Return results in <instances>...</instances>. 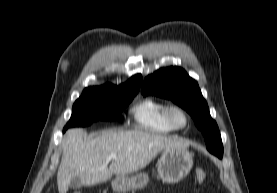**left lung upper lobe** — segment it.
Wrapping results in <instances>:
<instances>
[{"label":"left lung upper lobe","mask_w":277,"mask_h":193,"mask_svg":"<svg viewBox=\"0 0 277 193\" xmlns=\"http://www.w3.org/2000/svg\"><path fill=\"white\" fill-rule=\"evenodd\" d=\"M144 96L152 94L171 99L184 108L202 131L207 149L219 158L223 145L216 122L211 118L206 100L197 82L179 67L162 68L145 78L142 87Z\"/></svg>","instance_id":"1"}]
</instances>
